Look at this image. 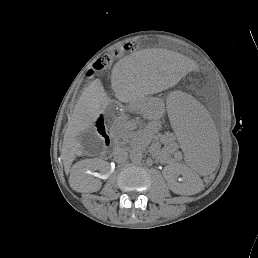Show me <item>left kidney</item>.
<instances>
[{"mask_svg": "<svg viewBox=\"0 0 258 258\" xmlns=\"http://www.w3.org/2000/svg\"><path fill=\"white\" fill-rule=\"evenodd\" d=\"M183 176L185 178V182L176 183L173 186V192L180 195H193L195 192L192 189L193 177L191 176V173L188 170H185Z\"/></svg>", "mask_w": 258, "mask_h": 258, "instance_id": "obj_1", "label": "left kidney"}]
</instances>
